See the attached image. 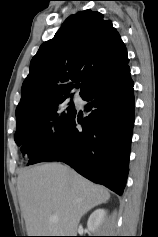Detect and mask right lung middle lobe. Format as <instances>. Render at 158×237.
I'll list each match as a JSON object with an SVG mask.
<instances>
[{"label":"right lung middle lobe","instance_id":"dd1d6c3e","mask_svg":"<svg viewBox=\"0 0 158 237\" xmlns=\"http://www.w3.org/2000/svg\"><path fill=\"white\" fill-rule=\"evenodd\" d=\"M76 110L67 98L50 102L41 110L16 118L15 142L31 159L40 147L68 120Z\"/></svg>","mask_w":158,"mask_h":237}]
</instances>
